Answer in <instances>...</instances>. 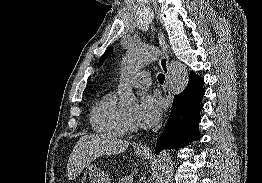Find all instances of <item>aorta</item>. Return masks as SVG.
<instances>
[{
  "mask_svg": "<svg viewBox=\"0 0 262 183\" xmlns=\"http://www.w3.org/2000/svg\"><path fill=\"white\" fill-rule=\"evenodd\" d=\"M160 51L156 46L131 47L128 49L123 63V72L131 75L138 72L145 65L156 61ZM189 81L188 71L179 61H172L169 66L168 85L172 95L183 92ZM119 105L121 108L130 110L138 106V100L133 94L132 88L120 87ZM172 160L169 152L163 151L158 156L155 166L156 183H163L172 170Z\"/></svg>",
  "mask_w": 262,
  "mask_h": 183,
  "instance_id": "obj_1",
  "label": "aorta"
}]
</instances>
